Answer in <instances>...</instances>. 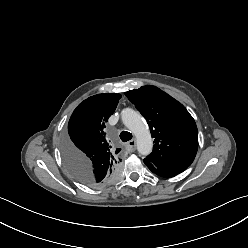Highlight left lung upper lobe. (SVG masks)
Here are the masks:
<instances>
[{"label":"left lung upper lobe","instance_id":"5c2ea615","mask_svg":"<svg viewBox=\"0 0 248 248\" xmlns=\"http://www.w3.org/2000/svg\"><path fill=\"white\" fill-rule=\"evenodd\" d=\"M125 95L145 117L154 138L153 152L144 160L159 168L191 165L198 149V133L187 109L151 85Z\"/></svg>","mask_w":248,"mask_h":248}]
</instances>
